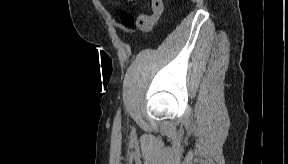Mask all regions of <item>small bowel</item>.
<instances>
[{
	"instance_id": "c3829d8e",
	"label": "small bowel",
	"mask_w": 288,
	"mask_h": 164,
	"mask_svg": "<svg viewBox=\"0 0 288 164\" xmlns=\"http://www.w3.org/2000/svg\"><path fill=\"white\" fill-rule=\"evenodd\" d=\"M152 12L151 14H141L144 17L149 19V24L143 27L144 30L150 29L159 19L160 15L163 12L164 6L161 1L154 0L151 5Z\"/></svg>"
}]
</instances>
